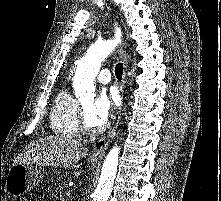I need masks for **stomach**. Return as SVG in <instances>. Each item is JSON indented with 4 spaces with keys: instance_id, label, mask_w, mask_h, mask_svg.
<instances>
[{
    "instance_id": "stomach-1",
    "label": "stomach",
    "mask_w": 221,
    "mask_h": 201,
    "mask_svg": "<svg viewBox=\"0 0 221 201\" xmlns=\"http://www.w3.org/2000/svg\"><path fill=\"white\" fill-rule=\"evenodd\" d=\"M41 179L42 173L37 166L17 163L8 171L5 188L9 194L21 196L39 185Z\"/></svg>"
}]
</instances>
